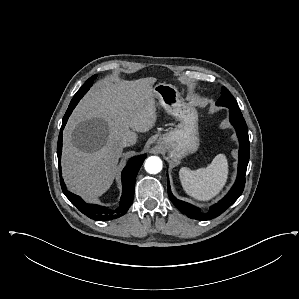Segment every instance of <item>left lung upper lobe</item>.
<instances>
[{
  "instance_id": "obj_1",
  "label": "left lung upper lobe",
  "mask_w": 299,
  "mask_h": 299,
  "mask_svg": "<svg viewBox=\"0 0 299 299\" xmlns=\"http://www.w3.org/2000/svg\"><path fill=\"white\" fill-rule=\"evenodd\" d=\"M216 105L239 108L237 106V102L235 98L232 96V94L229 92V90L226 87H222L221 96L216 102Z\"/></svg>"
}]
</instances>
